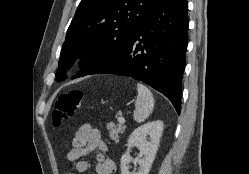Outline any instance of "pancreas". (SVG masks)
<instances>
[{"mask_svg":"<svg viewBox=\"0 0 249 174\" xmlns=\"http://www.w3.org/2000/svg\"><path fill=\"white\" fill-rule=\"evenodd\" d=\"M107 129L109 130L110 138L115 142H118L120 137L119 134L124 132L125 126L122 124L108 123Z\"/></svg>","mask_w":249,"mask_h":174,"instance_id":"obj_1","label":"pancreas"}]
</instances>
